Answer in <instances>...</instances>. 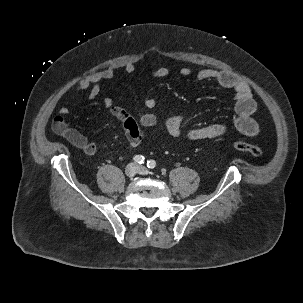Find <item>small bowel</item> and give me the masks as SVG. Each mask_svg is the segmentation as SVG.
Wrapping results in <instances>:
<instances>
[{
	"label": "small bowel",
	"mask_w": 303,
	"mask_h": 303,
	"mask_svg": "<svg viewBox=\"0 0 303 303\" xmlns=\"http://www.w3.org/2000/svg\"><path fill=\"white\" fill-rule=\"evenodd\" d=\"M124 70L128 74H133L136 66L134 63L129 62L124 66ZM191 72L189 67H184L181 68L178 73L182 77H187ZM168 74L169 69L167 67H160L152 72L154 78H163ZM114 77L115 71L109 67L81 78L76 85L70 101L86 90H89V99H95L100 94L103 82L113 79ZM196 79L201 82H214L225 89L231 90L234 94V111L236 114L233 122L234 128L245 136H255L259 133V125L253 118V114L256 111V103L250 87L245 82L230 72L215 69L199 71ZM103 103L107 112L122 124L130 149L138 147L141 143L144 136V128L153 127L158 124V117L154 113H142L135 118L125 109L115 105L113 99L110 97H106ZM144 104L148 109H152L156 106V100L148 96L145 98ZM68 113L69 108L67 106L61 107L59 114L53 120L54 131L64 137L73 146L82 150L85 154L90 156L96 154L97 145L89 141L88 138L77 129L67 125L64 118ZM166 129L171 136H185L192 141L217 138L223 136L228 131V127L220 123L185 128L184 116L181 114L171 115L166 120Z\"/></svg>",
	"instance_id": "c3829d8e"
}]
</instances>
